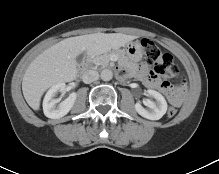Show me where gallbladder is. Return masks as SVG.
<instances>
[{"label":"gallbladder","mask_w":219,"mask_h":174,"mask_svg":"<svg viewBox=\"0 0 219 174\" xmlns=\"http://www.w3.org/2000/svg\"><path fill=\"white\" fill-rule=\"evenodd\" d=\"M76 61H77L78 63H80V62L82 61V56H81V55L78 56V57L76 58Z\"/></svg>","instance_id":"1"}]
</instances>
